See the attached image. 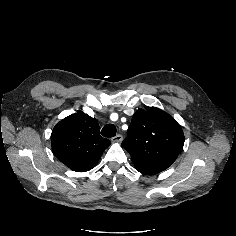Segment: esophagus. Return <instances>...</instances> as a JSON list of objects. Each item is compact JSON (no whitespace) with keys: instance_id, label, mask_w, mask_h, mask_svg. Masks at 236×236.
<instances>
[{"instance_id":"esophagus-1","label":"esophagus","mask_w":236,"mask_h":236,"mask_svg":"<svg viewBox=\"0 0 236 236\" xmlns=\"http://www.w3.org/2000/svg\"><path fill=\"white\" fill-rule=\"evenodd\" d=\"M123 140V136L121 134H117L115 137L112 138V142L120 143Z\"/></svg>"}]
</instances>
